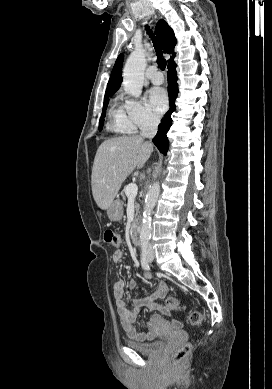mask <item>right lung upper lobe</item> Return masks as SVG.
Wrapping results in <instances>:
<instances>
[{"instance_id":"obj_1","label":"right lung upper lobe","mask_w":272,"mask_h":389,"mask_svg":"<svg viewBox=\"0 0 272 389\" xmlns=\"http://www.w3.org/2000/svg\"><path fill=\"white\" fill-rule=\"evenodd\" d=\"M155 33L157 34L159 43L162 45L164 52L172 53V57L168 61V64L172 63L175 57L174 47L176 45V39L174 37L173 30L168 26L166 21L160 20L156 25ZM122 63L123 55L121 54L117 58L113 67L109 82L107 84L105 96L115 93L120 87L122 82Z\"/></svg>"}]
</instances>
